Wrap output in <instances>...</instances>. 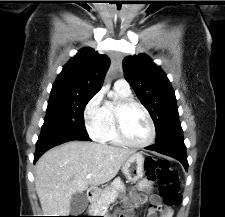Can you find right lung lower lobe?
Wrapping results in <instances>:
<instances>
[{
  "label": "right lung lower lobe",
  "instance_id": "right-lung-lower-lobe-1",
  "mask_svg": "<svg viewBox=\"0 0 225 217\" xmlns=\"http://www.w3.org/2000/svg\"><path fill=\"white\" fill-rule=\"evenodd\" d=\"M72 140H90L89 137L65 134L60 132L41 133L36 143V152L34 155V163L36 160L50 148Z\"/></svg>",
  "mask_w": 225,
  "mask_h": 217
}]
</instances>
